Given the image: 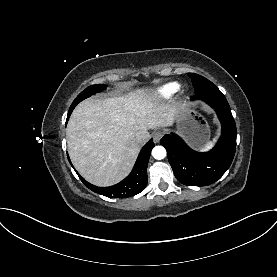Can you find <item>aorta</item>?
I'll use <instances>...</instances> for the list:
<instances>
[{"label": "aorta", "mask_w": 277, "mask_h": 277, "mask_svg": "<svg viewBox=\"0 0 277 277\" xmlns=\"http://www.w3.org/2000/svg\"><path fill=\"white\" fill-rule=\"evenodd\" d=\"M152 155L157 160L164 159L166 157V149L163 146H155L152 150Z\"/></svg>", "instance_id": "aorta-1"}]
</instances>
